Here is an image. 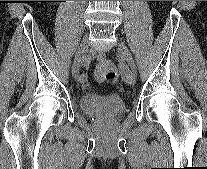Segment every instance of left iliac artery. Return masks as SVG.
I'll list each match as a JSON object with an SVG mask.
<instances>
[{"label": "left iliac artery", "mask_w": 207, "mask_h": 169, "mask_svg": "<svg viewBox=\"0 0 207 169\" xmlns=\"http://www.w3.org/2000/svg\"><path fill=\"white\" fill-rule=\"evenodd\" d=\"M121 66L123 67L124 65L122 64ZM126 68L128 69L129 67L127 66ZM131 68L136 73V66H135V64L132 65Z\"/></svg>", "instance_id": "left-iliac-artery-1"}]
</instances>
